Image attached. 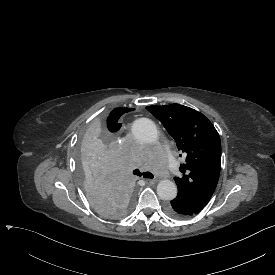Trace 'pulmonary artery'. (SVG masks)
Here are the masks:
<instances>
[{
	"instance_id": "e3ab8cb5",
	"label": "pulmonary artery",
	"mask_w": 275,
	"mask_h": 275,
	"mask_svg": "<svg viewBox=\"0 0 275 275\" xmlns=\"http://www.w3.org/2000/svg\"><path fill=\"white\" fill-rule=\"evenodd\" d=\"M164 145H165L166 153H167V156H168L167 165L171 169V173L173 174V176L174 177H179L180 176V171L177 167V164L175 163V158L173 157V153L171 151V147L169 145V142L165 141Z\"/></svg>"
}]
</instances>
